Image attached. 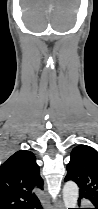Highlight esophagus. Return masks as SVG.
<instances>
[{"mask_svg": "<svg viewBox=\"0 0 98 209\" xmlns=\"http://www.w3.org/2000/svg\"><path fill=\"white\" fill-rule=\"evenodd\" d=\"M56 209H64V207L62 204H60V205H57Z\"/></svg>", "mask_w": 98, "mask_h": 209, "instance_id": "esophagus-1", "label": "esophagus"}]
</instances>
